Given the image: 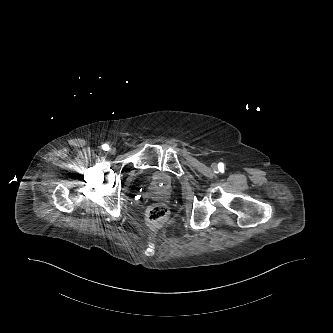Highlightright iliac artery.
Returning a JSON list of instances; mask_svg holds the SVG:
<instances>
[{"label": "right iliac artery", "mask_w": 333, "mask_h": 333, "mask_svg": "<svg viewBox=\"0 0 333 333\" xmlns=\"http://www.w3.org/2000/svg\"><path fill=\"white\" fill-rule=\"evenodd\" d=\"M102 149L105 150V151H108L109 150V145L108 144H103Z\"/></svg>", "instance_id": "obj_1"}]
</instances>
